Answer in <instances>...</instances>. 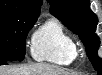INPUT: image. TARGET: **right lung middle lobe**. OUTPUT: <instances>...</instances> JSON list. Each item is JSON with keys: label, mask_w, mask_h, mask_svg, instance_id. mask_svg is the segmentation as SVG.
I'll use <instances>...</instances> for the list:
<instances>
[{"label": "right lung middle lobe", "mask_w": 102, "mask_h": 75, "mask_svg": "<svg viewBox=\"0 0 102 75\" xmlns=\"http://www.w3.org/2000/svg\"><path fill=\"white\" fill-rule=\"evenodd\" d=\"M39 15L0 12V62L22 61L25 39Z\"/></svg>", "instance_id": "obj_1"}]
</instances>
